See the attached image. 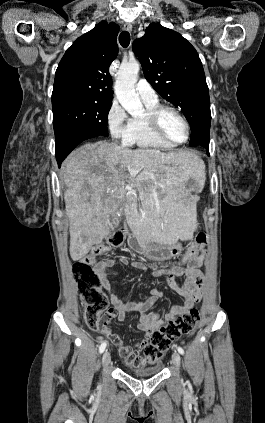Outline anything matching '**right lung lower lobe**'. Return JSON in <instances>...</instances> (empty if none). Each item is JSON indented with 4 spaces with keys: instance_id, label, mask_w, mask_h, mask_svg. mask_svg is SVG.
<instances>
[{
    "instance_id": "98d812e1",
    "label": "right lung lower lobe",
    "mask_w": 265,
    "mask_h": 423,
    "mask_svg": "<svg viewBox=\"0 0 265 423\" xmlns=\"http://www.w3.org/2000/svg\"><path fill=\"white\" fill-rule=\"evenodd\" d=\"M97 136V134L83 129L64 128L55 134L56 152L60 150L68 155L82 141ZM61 162L58 163L59 166Z\"/></svg>"
}]
</instances>
